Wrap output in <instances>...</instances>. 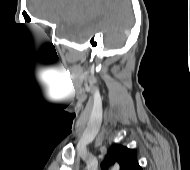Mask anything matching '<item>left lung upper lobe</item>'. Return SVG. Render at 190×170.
Returning a JSON list of instances; mask_svg holds the SVG:
<instances>
[{
    "label": "left lung upper lobe",
    "instance_id": "obj_1",
    "mask_svg": "<svg viewBox=\"0 0 190 170\" xmlns=\"http://www.w3.org/2000/svg\"><path fill=\"white\" fill-rule=\"evenodd\" d=\"M114 162L119 163L120 170H142L138 164L135 150L125 146L114 145L109 149L104 166L108 167Z\"/></svg>",
    "mask_w": 190,
    "mask_h": 170
}]
</instances>
